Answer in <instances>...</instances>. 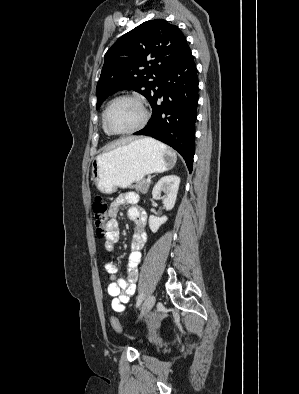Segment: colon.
<instances>
[{"label": "colon", "instance_id": "obj_1", "mask_svg": "<svg viewBox=\"0 0 299 394\" xmlns=\"http://www.w3.org/2000/svg\"><path fill=\"white\" fill-rule=\"evenodd\" d=\"M92 208L96 235L103 237L106 233V224L108 221V204L102 196H96ZM111 324L116 332H122L121 324L116 317H112Z\"/></svg>", "mask_w": 299, "mask_h": 394}]
</instances>
